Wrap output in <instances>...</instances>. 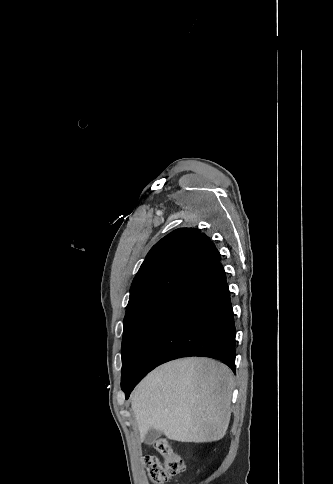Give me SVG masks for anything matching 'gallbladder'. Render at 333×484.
Here are the masks:
<instances>
[{"instance_id": "bac80fb5", "label": "gallbladder", "mask_w": 333, "mask_h": 484, "mask_svg": "<svg viewBox=\"0 0 333 484\" xmlns=\"http://www.w3.org/2000/svg\"><path fill=\"white\" fill-rule=\"evenodd\" d=\"M161 435V432L155 429H150L145 435V442L147 444H152Z\"/></svg>"}]
</instances>
